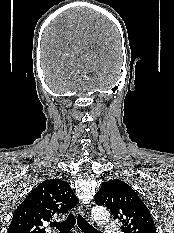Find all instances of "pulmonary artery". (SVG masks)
<instances>
[{"instance_id": "e3ab8cb5", "label": "pulmonary artery", "mask_w": 174, "mask_h": 233, "mask_svg": "<svg viewBox=\"0 0 174 233\" xmlns=\"http://www.w3.org/2000/svg\"><path fill=\"white\" fill-rule=\"evenodd\" d=\"M106 233H120L118 227L112 223H109L105 226Z\"/></svg>"}]
</instances>
